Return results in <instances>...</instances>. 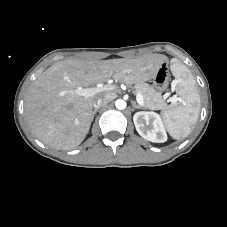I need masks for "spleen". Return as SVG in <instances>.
Wrapping results in <instances>:
<instances>
[{"instance_id": "obj_1", "label": "spleen", "mask_w": 227, "mask_h": 227, "mask_svg": "<svg viewBox=\"0 0 227 227\" xmlns=\"http://www.w3.org/2000/svg\"><path fill=\"white\" fill-rule=\"evenodd\" d=\"M175 76L179 103L169 106L162 112V117L173 139L186 138L197 122L200 113V97L196 83L187 67L177 61L171 65Z\"/></svg>"}]
</instances>
